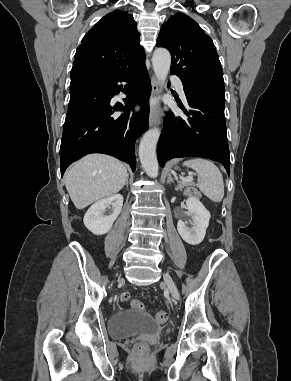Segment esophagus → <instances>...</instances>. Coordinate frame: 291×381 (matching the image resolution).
I'll use <instances>...</instances> for the list:
<instances>
[{"label": "esophagus", "mask_w": 291, "mask_h": 381, "mask_svg": "<svg viewBox=\"0 0 291 381\" xmlns=\"http://www.w3.org/2000/svg\"><path fill=\"white\" fill-rule=\"evenodd\" d=\"M151 85H152V94L154 96L159 95L162 92L160 82L158 81V79L154 75H152V77H151ZM159 122H160L159 114L153 112L149 118V126L153 127L155 125H158Z\"/></svg>", "instance_id": "esophagus-1"}]
</instances>
